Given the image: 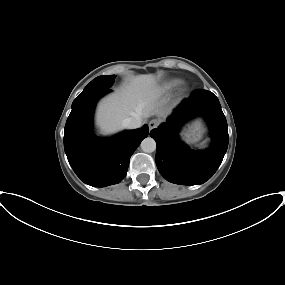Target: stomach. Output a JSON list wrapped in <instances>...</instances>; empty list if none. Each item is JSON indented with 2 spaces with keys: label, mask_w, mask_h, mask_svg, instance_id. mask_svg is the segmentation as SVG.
Listing matches in <instances>:
<instances>
[{
  "label": "stomach",
  "mask_w": 285,
  "mask_h": 285,
  "mask_svg": "<svg viewBox=\"0 0 285 285\" xmlns=\"http://www.w3.org/2000/svg\"><path fill=\"white\" fill-rule=\"evenodd\" d=\"M183 138L188 143H194L201 138L202 127L199 122H194L186 128L183 133Z\"/></svg>",
  "instance_id": "0dacf381"
}]
</instances>
